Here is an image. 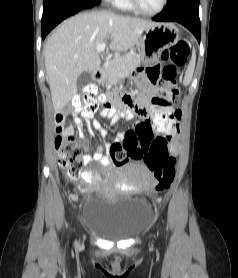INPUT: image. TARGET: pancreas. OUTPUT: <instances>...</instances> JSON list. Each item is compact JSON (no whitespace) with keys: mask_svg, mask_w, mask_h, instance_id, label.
Listing matches in <instances>:
<instances>
[{"mask_svg":"<svg viewBox=\"0 0 238 278\" xmlns=\"http://www.w3.org/2000/svg\"><path fill=\"white\" fill-rule=\"evenodd\" d=\"M140 55L134 51H130L125 55H117L113 61L107 63L105 72L107 75L108 84H115L120 77L129 75L135 67L139 65Z\"/></svg>","mask_w":238,"mask_h":278,"instance_id":"1","label":"pancreas"}]
</instances>
